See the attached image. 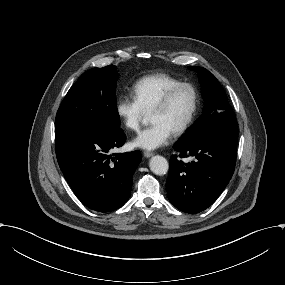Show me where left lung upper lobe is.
Segmentation results:
<instances>
[{"instance_id": "obj_1", "label": "left lung upper lobe", "mask_w": 285, "mask_h": 285, "mask_svg": "<svg viewBox=\"0 0 285 285\" xmlns=\"http://www.w3.org/2000/svg\"><path fill=\"white\" fill-rule=\"evenodd\" d=\"M190 68L199 74L205 106L201 117L177 142L179 145L188 144L220 125L236 123L227 95L215 76L202 67L190 66Z\"/></svg>"}]
</instances>
